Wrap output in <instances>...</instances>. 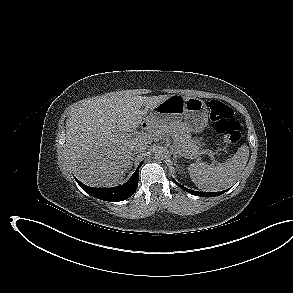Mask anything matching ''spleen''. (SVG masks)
Wrapping results in <instances>:
<instances>
[{"mask_svg": "<svg viewBox=\"0 0 293 293\" xmlns=\"http://www.w3.org/2000/svg\"><path fill=\"white\" fill-rule=\"evenodd\" d=\"M249 158V147L242 145L234 156L225 163H193L188 167L193 183L201 190L217 192L233 185L245 168Z\"/></svg>", "mask_w": 293, "mask_h": 293, "instance_id": "1", "label": "spleen"}]
</instances>
